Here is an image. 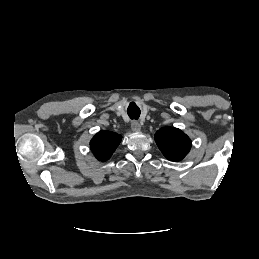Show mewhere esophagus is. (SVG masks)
I'll list each match as a JSON object with an SVG mask.
<instances>
[{
	"label": "esophagus",
	"mask_w": 259,
	"mask_h": 259,
	"mask_svg": "<svg viewBox=\"0 0 259 259\" xmlns=\"http://www.w3.org/2000/svg\"><path fill=\"white\" fill-rule=\"evenodd\" d=\"M131 129H132L134 132H140L141 126H140V124H139L137 121H133V122L131 123Z\"/></svg>",
	"instance_id": "obj_1"
}]
</instances>
